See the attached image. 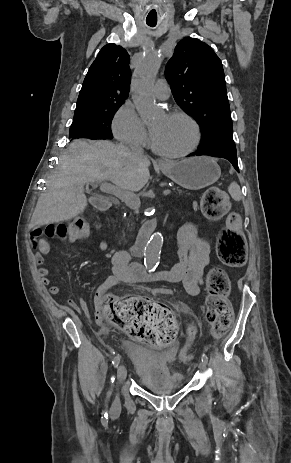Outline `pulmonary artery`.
Instances as JSON below:
<instances>
[{
    "label": "pulmonary artery",
    "instance_id": "pulmonary-artery-1",
    "mask_svg": "<svg viewBox=\"0 0 291 463\" xmlns=\"http://www.w3.org/2000/svg\"><path fill=\"white\" fill-rule=\"evenodd\" d=\"M154 95L159 100H166L170 95V88L167 81L163 78L158 79L153 89Z\"/></svg>",
    "mask_w": 291,
    "mask_h": 463
}]
</instances>
